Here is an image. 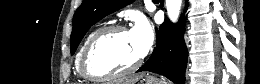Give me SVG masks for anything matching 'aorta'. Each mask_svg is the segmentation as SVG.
<instances>
[{"instance_id": "1", "label": "aorta", "mask_w": 260, "mask_h": 84, "mask_svg": "<svg viewBox=\"0 0 260 84\" xmlns=\"http://www.w3.org/2000/svg\"><path fill=\"white\" fill-rule=\"evenodd\" d=\"M181 5L182 0H166V9L168 17L174 23L177 22L179 18Z\"/></svg>"}]
</instances>
